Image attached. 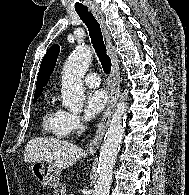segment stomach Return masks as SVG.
Listing matches in <instances>:
<instances>
[{
  "instance_id": "stomach-1",
  "label": "stomach",
  "mask_w": 189,
  "mask_h": 195,
  "mask_svg": "<svg viewBox=\"0 0 189 195\" xmlns=\"http://www.w3.org/2000/svg\"><path fill=\"white\" fill-rule=\"evenodd\" d=\"M34 177L44 186L52 187L59 182L60 168L49 161H38L31 166Z\"/></svg>"
}]
</instances>
